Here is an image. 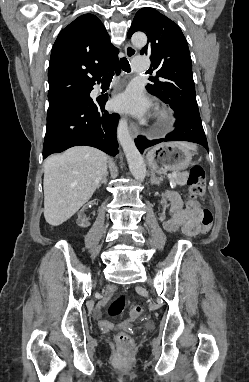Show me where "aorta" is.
<instances>
[{"label": "aorta", "mask_w": 249, "mask_h": 382, "mask_svg": "<svg viewBox=\"0 0 249 382\" xmlns=\"http://www.w3.org/2000/svg\"><path fill=\"white\" fill-rule=\"evenodd\" d=\"M131 42L136 47H144L147 43V37L144 33H135L131 38ZM117 138L123 148L133 177L136 180L143 181L146 176V166L142 155L132 140L128 130V122L125 118L119 121Z\"/></svg>", "instance_id": "aorta-1"}]
</instances>
